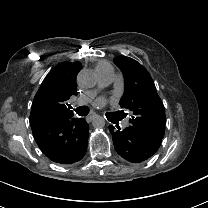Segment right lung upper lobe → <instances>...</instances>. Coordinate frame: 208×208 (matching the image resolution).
I'll return each mask as SVG.
<instances>
[{"instance_id":"obj_1","label":"right lung upper lobe","mask_w":208,"mask_h":208,"mask_svg":"<svg viewBox=\"0 0 208 208\" xmlns=\"http://www.w3.org/2000/svg\"><path fill=\"white\" fill-rule=\"evenodd\" d=\"M81 68L80 62H62L48 73L34 97L30 120L73 117L67 101L77 95L76 76Z\"/></svg>"}]
</instances>
